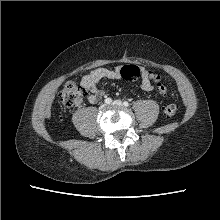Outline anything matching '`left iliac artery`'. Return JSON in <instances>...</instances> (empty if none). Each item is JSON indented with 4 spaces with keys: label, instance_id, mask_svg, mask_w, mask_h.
Returning a JSON list of instances; mask_svg holds the SVG:
<instances>
[{
    "label": "left iliac artery",
    "instance_id": "44dca946",
    "mask_svg": "<svg viewBox=\"0 0 220 220\" xmlns=\"http://www.w3.org/2000/svg\"><path fill=\"white\" fill-rule=\"evenodd\" d=\"M123 105H124L125 107H128V106H129V103H128L127 101H124V102H123Z\"/></svg>",
    "mask_w": 220,
    "mask_h": 220
}]
</instances>
